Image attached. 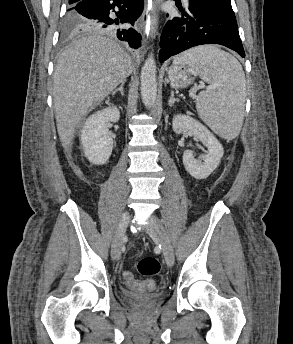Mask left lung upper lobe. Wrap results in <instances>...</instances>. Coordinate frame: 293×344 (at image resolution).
Instances as JSON below:
<instances>
[{
    "mask_svg": "<svg viewBox=\"0 0 293 344\" xmlns=\"http://www.w3.org/2000/svg\"><path fill=\"white\" fill-rule=\"evenodd\" d=\"M210 8L214 9L221 16L237 25L236 17L231 6V0H200Z\"/></svg>",
    "mask_w": 293,
    "mask_h": 344,
    "instance_id": "left-lung-upper-lobe-1",
    "label": "left lung upper lobe"
}]
</instances>
